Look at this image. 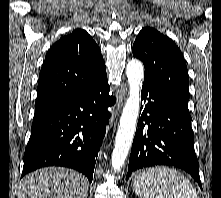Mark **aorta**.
I'll use <instances>...</instances> for the list:
<instances>
[{"label": "aorta", "mask_w": 221, "mask_h": 198, "mask_svg": "<svg viewBox=\"0 0 221 198\" xmlns=\"http://www.w3.org/2000/svg\"><path fill=\"white\" fill-rule=\"evenodd\" d=\"M126 75L129 83V96L123 108L111 156V165L115 172L124 165L136 130L140 109V91L144 77L142 63L136 59L129 61L126 66Z\"/></svg>", "instance_id": "762f6f07"}]
</instances>
